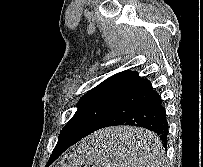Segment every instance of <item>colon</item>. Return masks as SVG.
<instances>
[{
  "label": "colon",
  "instance_id": "1",
  "mask_svg": "<svg viewBox=\"0 0 203 167\" xmlns=\"http://www.w3.org/2000/svg\"><path fill=\"white\" fill-rule=\"evenodd\" d=\"M57 167H95V166L80 159L75 154L70 153L59 162Z\"/></svg>",
  "mask_w": 203,
  "mask_h": 167
}]
</instances>
